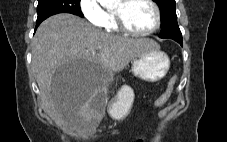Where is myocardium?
Instances as JSON below:
<instances>
[{
    "label": "myocardium",
    "mask_w": 227,
    "mask_h": 142,
    "mask_svg": "<svg viewBox=\"0 0 227 142\" xmlns=\"http://www.w3.org/2000/svg\"><path fill=\"white\" fill-rule=\"evenodd\" d=\"M131 0H120L121 2V6L119 9H114L113 12V16L116 22L117 27L119 28V30H121L122 32H125L127 34H130L132 36H137V37H145V36H149L152 35L153 33H155L161 26V21H162V15H161V10L159 5L157 4L156 1L154 0H146L154 9L155 12V24L154 26L149 29L148 31L145 32H139V31H135L133 29H131L125 18H124V14H123V7L129 3Z\"/></svg>",
    "instance_id": "f54148a6"
}]
</instances>
